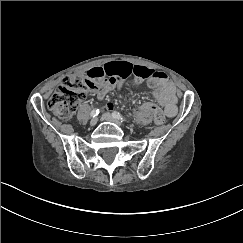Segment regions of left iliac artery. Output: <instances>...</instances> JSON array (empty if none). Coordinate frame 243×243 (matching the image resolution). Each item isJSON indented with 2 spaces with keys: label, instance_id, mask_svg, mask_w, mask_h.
I'll use <instances>...</instances> for the list:
<instances>
[{
  "label": "left iliac artery",
  "instance_id": "obj_1",
  "mask_svg": "<svg viewBox=\"0 0 243 243\" xmlns=\"http://www.w3.org/2000/svg\"><path fill=\"white\" fill-rule=\"evenodd\" d=\"M112 115H113L116 119H118V120L126 121V120L124 119V117H123L119 112H117V111H114V112L112 113Z\"/></svg>",
  "mask_w": 243,
  "mask_h": 243
}]
</instances>
